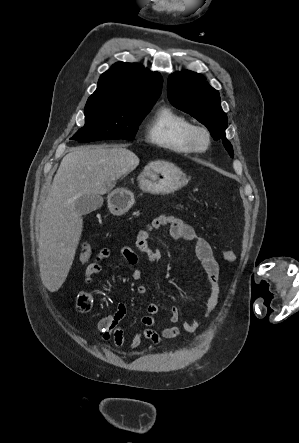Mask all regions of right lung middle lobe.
Returning <instances> with one entry per match:
<instances>
[{
    "instance_id": "dd1d6c3e",
    "label": "right lung middle lobe",
    "mask_w": 299,
    "mask_h": 443,
    "mask_svg": "<svg viewBox=\"0 0 299 443\" xmlns=\"http://www.w3.org/2000/svg\"><path fill=\"white\" fill-rule=\"evenodd\" d=\"M153 105L89 98L84 112L85 125L71 139L82 143L107 139L132 140Z\"/></svg>"
}]
</instances>
